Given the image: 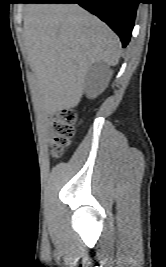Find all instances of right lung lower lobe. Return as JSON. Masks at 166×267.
Masks as SVG:
<instances>
[{
	"label": "right lung lower lobe",
	"instance_id": "1",
	"mask_svg": "<svg viewBox=\"0 0 166 267\" xmlns=\"http://www.w3.org/2000/svg\"><path fill=\"white\" fill-rule=\"evenodd\" d=\"M23 3H77L114 30L126 47L134 26L138 0H24Z\"/></svg>",
	"mask_w": 166,
	"mask_h": 267
}]
</instances>
